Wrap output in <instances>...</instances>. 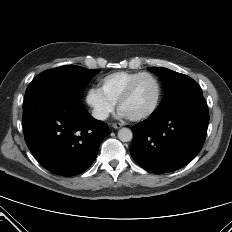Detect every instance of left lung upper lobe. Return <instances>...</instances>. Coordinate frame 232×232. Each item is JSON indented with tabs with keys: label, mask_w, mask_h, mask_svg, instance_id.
<instances>
[{
	"label": "left lung upper lobe",
	"mask_w": 232,
	"mask_h": 232,
	"mask_svg": "<svg viewBox=\"0 0 232 232\" xmlns=\"http://www.w3.org/2000/svg\"><path fill=\"white\" fill-rule=\"evenodd\" d=\"M156 73L165 87L166 93L156 110L162 109L177 99L200 90L198 84L189 76L160 67H150Z\"/></svg>",
	"instance_id": "obj_1"
}]
</instances>
